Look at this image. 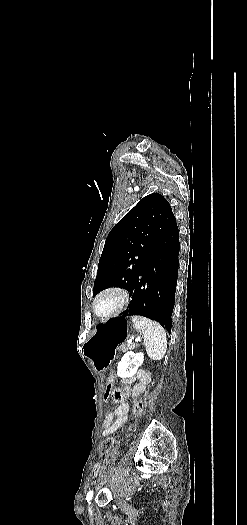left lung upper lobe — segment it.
<instances>
[{
	"label": "left lung upper lobe",
	"instance_id": "obj_1",
	"mask_svg": "<svg viewBox=\"0 0 247 525\" xmlns=\"http://www.w3.org/2000/svg\"><path fill=\"white\" fill-rule=\"evenodd\" d=\"M173 217L171 206L162 195L153 193L142 198L108 234L93 296L113 285L129 289L144 267L154 239Z\"/></svg>",
	"mask_w": 247,
	"mask_h": 525
}]
</instances>
